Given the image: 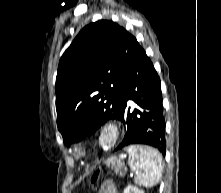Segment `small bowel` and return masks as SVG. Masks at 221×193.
I'll return each mask as SVG.
<instances>
[{"mask_svg": "<svg viewBox=\"0 0 221 193\" xmlns=\"http://www.w3.org/2000/svg\"><path fill=\"white\" fill-rule=\"evenodd\" d=\"M97 193H118L117 188L112 183H105Z\"/></svg>", "mask_w": 221, "mask_h": 193, "instance_id": "1", "label": "small bowel"}]
</instances>
